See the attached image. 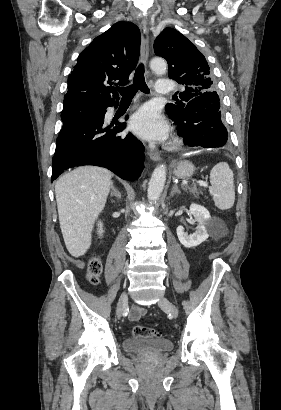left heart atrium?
Listing matches in <instances>:
<instances>
[{"label": "left heart atrium", "instance_id": "39dd6f15", "mask_svg": "<svg viewBox=\"0 0 281 410\" xmlns=\"http://www.w3.org/2000/svg\"><path fill=\"white\" fill-rule=\"evenodd\" d=\"M130 128L140 137L150 141H164L169 133L167 121L150 105L143 106L133 115Z\"/></svg>", "mask_w": 281, "mask_h": 410}]
</instances>
